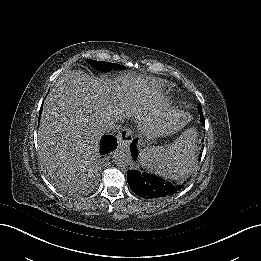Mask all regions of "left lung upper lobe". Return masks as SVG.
<instances>
[{
	"instance_id": "1",
	"label": "left lung upper lobe",
	"mask_w": 261,
	"mask_h": 261,
	"mask_svg": "<svg viewBox=\"0 0 261 261\" xmlns=\"http://www.w3.org/2000/svg\"><path fill=\"white\" fill-rule=\"evenodd\" d=\"M198 109H199L200 111H202V107H201V105L198 107Z\"/></svg>"
}]
</instances>
